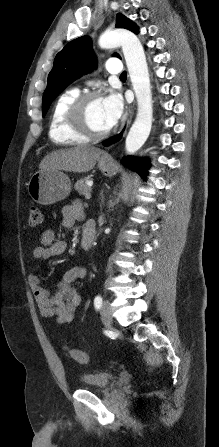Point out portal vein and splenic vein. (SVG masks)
<instances>
[{
	"mask_svg": "<svg viewBox=\"0 0 219 447\" xmlns=\"http://www.w3.org/2000/svg\"><path fill=\"white\" fill-rule=\"evenodd\" d=\"M87 184H88L89 186H92L93 182H92V181H89ZM85 198H86V199H90V198H91V194H90V193H87V194L85 195Z\"/></svg>",
	"mask_w": 219,
	"mask_h": 447,
	"instance_id": "1",
	"label": "portal vein and splenic vein"
}]
</instances>
